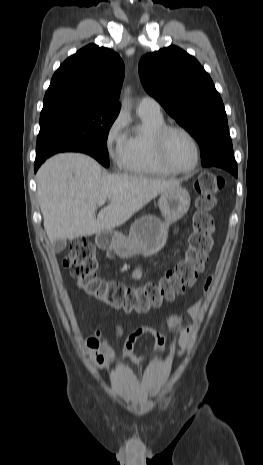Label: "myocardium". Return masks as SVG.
<instances>
[{
  "label": "myocardium",
  "mask_w": 263,
  "mask_h": 465,
  "mask_svg": "<svg viewBox=\"0 0 263 465\" xmlns=\"http://www.w3.org/2000/svg\"><path fill=\"white\" fill-rule=\"evenodd\" d=\"M180 132L190 139L195 148V161L193 165L187 169H180L173 166L166 155V141L170 133ZM153 146L157 161L167 171L173 174H189L192 173L199 165L201 158V148L196 137L186 128L179 125H163L153 134Z\"/></svg>",
  "instance_id": "1"
}]
</instances>
